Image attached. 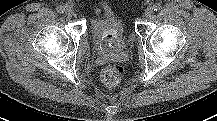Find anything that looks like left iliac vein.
I'll list each match as a JSON object with an SVG mask.
<instances>
[{
    "label": "left iliac vein",
    "instance_id": "1",
    "mask_svg": "<svg viewBox=\"0 0 217 121\" xmlns=\"http://www.w3.org/2000/svg\"><path fill=\"white\" fill-rule=\"evenodd\" d=\"M152 12H153V9L151 7H148V8L145 9L144 16L145 17H150Z\"/></svg>",
    "mask_w": 217,
    "mask_h": 121
}]
</instances>
